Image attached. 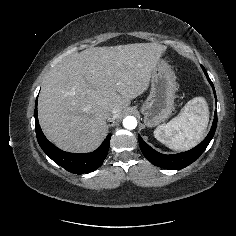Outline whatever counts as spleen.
Here are the masks:
<instances>
[{
	"label": "spleen",
	"instance_id": "1",
	"mask_svg": "<svg viewBox=\"0 0 236 236\" xmlns=\"http://www.w3.org/2000/svg\"><path fill=\"white\" fill-rule=\"evenodd\" d=\"M209 121L207 103L202 97L188 101L179 115L154 130V137L174 150H188L202 139Z\"/></svg>",
	"mask_w": 236,
	"mask_h": 236
}]
</instances>
